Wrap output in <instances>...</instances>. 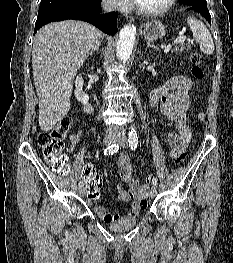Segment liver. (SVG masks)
<instances>
[{
  "label": "liver",
  "instance_id": "1",
  "mask_svg": "<svg viewBox=\"0 0 233 263\" xmlns=\"http://www.w3.org/2000/svg\"><path fill=\"white\" fill-rule=\"evenodd\" d=\"M101 36L93 25L75 20L47 24L35 35L32 68L42 131L68 113L74 77Z\"/></svg>",
  "mask_w": 233,
  "mask_h": 263
}]
</instances>
